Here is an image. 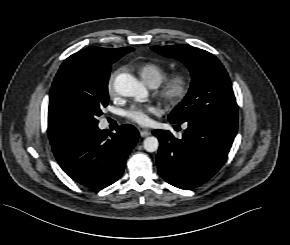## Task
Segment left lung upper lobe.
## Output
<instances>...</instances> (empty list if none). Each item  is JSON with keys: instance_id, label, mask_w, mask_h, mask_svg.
Segmentation results:
<instances>
[{"instance_id": "obj_1", "label": "left lung upper lobe", "mask_w": 290, "mask_h": 245, "mask_svg": "<svg viewBox=\"0 0 290 245\" xmlns=\"http://www.w3.org/2000/svg\"><path fill=\"white\" fill-rule=\"evenodd\" d=\"M152 50L177 59L189 68L192 83L188 94L168 116L169 121L183 122L205 114L212 119L238 124V110L229 76L211 53L189 45L153 46Z\"/></svg>"}]
</instances>
